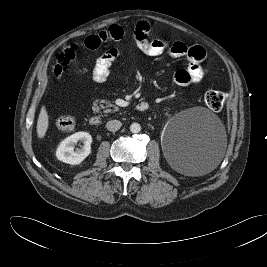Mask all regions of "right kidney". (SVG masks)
Listing matches in <instances>:
<instances>
[{
	"mask_svg": "<svg viewBox=\"0 0 267 267\" xmlns=\"http://www.w3.org/2000/svg\"><path fill=\"white\" fill-rule=\"evenodd\" d=\"M83 142V147L74 151V145ZM92 137L87 132H76L65 138L56 150V157L59 161L67 164H80L91 153Z\"/></svg>",
	"mask_w": 267,
	"mask_h": 267,
	"instance_id": "1",
	"label": "right kidney"
}]
</instances>
